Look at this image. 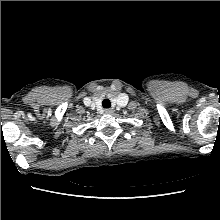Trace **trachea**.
I'll list each match as a JSON object with an SVG mask.
<instances>
[{
    "mask_svg": "<svg viewBox=\"0 0 220 220\" xmlns=\"http://www.w3.org/2000/svg\"><path fill=\"white\" fill-rule=\"evenodd\" d=\"M102 106H103L104 108H109V107L111 106L110 100H109V99L103 100Z\"/></svg>",
    "mask_w": 220,
    "mask_h": 220,
    "instance_id": "trachea-1",
    "label": "trachea"
}]
</instances>
